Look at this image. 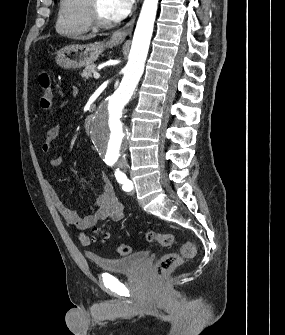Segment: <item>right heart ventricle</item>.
<instances>
[{"mask_svg":"<svg viewBox=\"0 0 285 335\" xmlns=\"http://www.w3.org/2000/svg\"><path fill=\"white\" fill-rule=\"evenodd\" d=\"M91 1H61L56 31L62 37L79 39L92 28Z\"/></svg>","mask_w":285,"mask_h":335,"instance_id":"obj_1","label":"right heart ventricle"}]
</instances>
